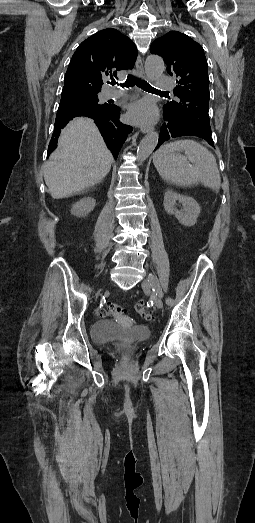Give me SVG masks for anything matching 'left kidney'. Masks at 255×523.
<instances>
[{"label":"left kidney","mask_w":255,"mask_h":523,"mask_svg":"<svg viewBox=\"0 0 255 523\" xmlns=\"http://www.w3.org/2000/svg\"><path fill=\"white\" fill-rule=\"evenodd\" d=\"M177 200L179 204L183 206V210H180V212L175 208ZM163 204L167 214H174L183 226H194V224H196L200 214V206H198L196 200H193V198L180 196V194H176L173 190H166Z\"/></svg>","instance_id":"left-kidney-1"}]
</instances>
